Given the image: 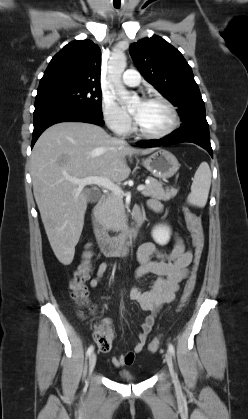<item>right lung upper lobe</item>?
<instances>
[{
  "instance_id": "obj_1",
  "label": "right lung upper lobe",
  "mask_w": 248,
  "mask_h": 419,
  "mask_svg": "<svg viewBox=\"0 0 248 419\" xmlns=\"http://www.w3.org/2000/svg\"><path fill=\"white\" fill-rule=\"evenodd\" d=\"M101 51L90 40L72 41L50 61L38 90L56 87L100 88Z\"/></svg>"
}]
</instances>
